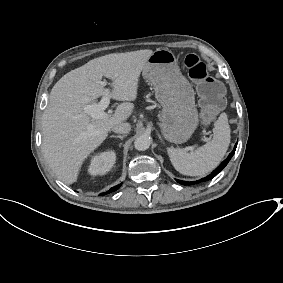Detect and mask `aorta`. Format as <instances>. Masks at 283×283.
<instances>
[{
    "instance_id": "1",
    "label": "aorta",
    "mask_w": 283,
    "mask_h": 283,
    "mask_svg": "<svg viewBox=\"0 0 283 283\" xmlns=\"http://www.w3.org/2000/svg\"><path fill=\"white\" fill-rule=\"evenodd\" d=\"M151 140L146 135H141L136 138L134 146L138 151H145L150 147Z\"/></svg>"
}]
</instances>
